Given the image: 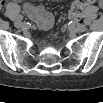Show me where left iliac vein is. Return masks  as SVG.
<instances>
[{
  "instance_id": "1",
  "label": "left iliac vein",
  "mask_w": 103,
  "mask_h": 103,
  "mask_svg": "<svg viewBox=\"0 0 103 103\" xmlns=\"http://www.w3.org/2000/svg\"><path fill=\"white\" fill-rule=\"evenodd\" d=\"M86 29H87V27L85 25H82V24L76 26V30L78 32H84V31H86Z\"/></svg>"
}]
</instances>
